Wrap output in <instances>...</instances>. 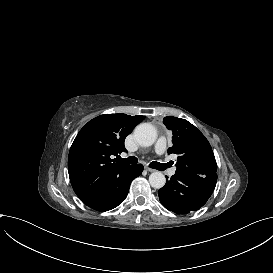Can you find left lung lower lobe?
<instances>
[{
    "label": "left lung lower lobe",
    "mask_w": 273,
    "mask_h": 273,
    "mask_svg": "<svg viewBox=\"0 0 273 273\" xmlns=\"http://www.w3.org/2000/svg\"><path fill=\"white\" fill-rule=\"evenodd\" d=\"M216 181L217 174L200 176L176 172L159 189V200L165 208L177 214L196 211L207 202Z\"/></svg>",
    "instance_id": "obj_1"
}]
</instances>
